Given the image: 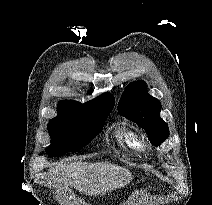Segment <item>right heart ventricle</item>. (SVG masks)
<instances>
[{"label":"right heart ventricle","mask_w":212,"mask_h":205,"mask_svg":"<svg viewBox=\"0 0 212 205\" xmlns=\"http://www.w3.org/2000/svg\"><path fill=\"white\" fill-rule=\"evenodd\" d=\"M116 142L123 148L135 150L139 143L135 132L126 125H119L115 130Z\"/></svg>","instance_id":"obj_1"}]
</instances>
